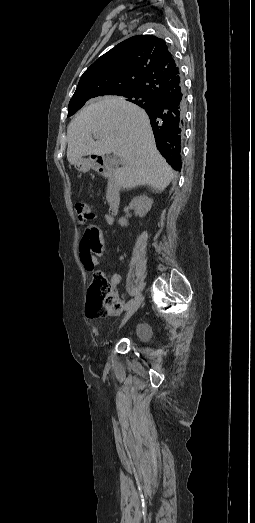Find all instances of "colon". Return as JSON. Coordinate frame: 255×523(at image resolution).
<instances>
[{
  "label": "colon",
  "instance_id": "obj_1",
  "mask_svg": "<svg viewBox=\"0 0 255 523\" xmlns=\"http://www.w3.org/2000/svg\"><path fill=\"white\" fill-rule=\"evenodd\" d=\"M75 213L81 224H86L93 218L92 210L86 203L76 204ZM120 308L121 302L114 294L112 284L103 272L96 271L88 290L87 315L105 316L117 312Z\"/></svg>",
  "mask_w": 255,
  "mask_h": 523
}]
</instances>
